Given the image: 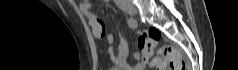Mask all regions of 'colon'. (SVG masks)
Here are the masks:
<instances>
[{
    "label": "colon",
    "mask_w": 238,
    "mask_h": 70,
    "mask_svg": "<svg viewBox=\"0 0 238 70\" xmlns=\"http://www.w3.org/2000/svg\"><path fill=\"white\" fill-rule=\"evenodd\" d=\"M160 38L158 30L149 28L141 31V45L147 55H152L156 43ZM186 70V64L177 49L172 46H163L157 50V56L152 59L151 66L156 70Z\"/></svg>",
    "instance_id": "obj_1"
}]
</instances>
